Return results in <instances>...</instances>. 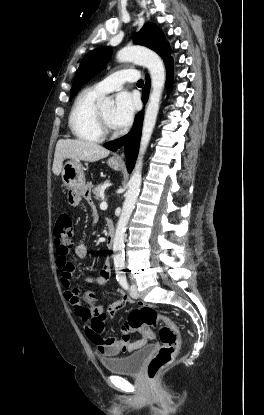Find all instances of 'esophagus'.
<instances>
[{
    "instance_id": "obj_1",
    "label": "esophagus",
    "mask_w": 264,
    "mask_h": 415,
    "mask_svg": "<svg viewBox=\"0 0 264 415\" xmlns=\"http://www.w3.org/2000/svg\"><path fill=\"white\" fill-rule=\"evenodd\" d=\"M115 159L122 161L124 159V155L120 154V155L116 156Z\"/></svg>"
}]
</instances>
